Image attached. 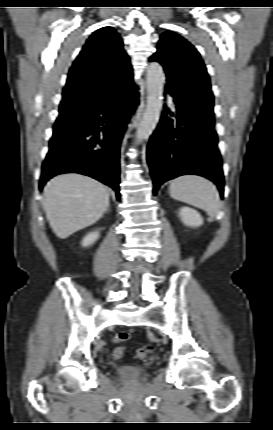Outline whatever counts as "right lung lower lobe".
<instances>
[{
  "instance_id": "98d812e1",
  "label": "right lung lower lobe",
  "mask_w": 273,
  "mask_h": 430,
  "mask_svg": "<svg viewBox=\"0 0 273 430\" xmlns=\"http://www.w3.org/2000/svg\"><path fill=\"white\" fill-rule=\"evenodd\" d=\"M135 85L103 90L79 120L54 130L42 165L40 190L58 174L80 173L109 185L120 199V144L138 101ZM103 125V127H100Z\"/></svg>"
}]
</instances>
